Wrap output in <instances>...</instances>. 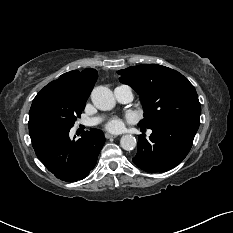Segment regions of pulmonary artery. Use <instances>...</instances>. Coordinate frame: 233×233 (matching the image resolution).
<instances>
[{"label":"pulmonary artery","mask_w":233,"mask_h":233,"mask_svg":"<svg viewBox=\"0 0 233 233\" xmlns=\"http://www.w3.org/2000/svg\"><path fill=\"white\" fill-rule=\"evenodd\" d=\"M114 96L120 103H129L133 99V91L127 85H121L114 89ZM101 121L100 117H93L81 121V124L85 126H94Z\"/></svg>","instance_id":"e3ab8cb5"}]
</instances>
